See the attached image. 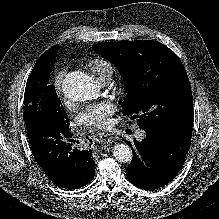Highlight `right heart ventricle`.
Wrapping results in <instances>:
<instances>
[{
    "instance_id": "obj_1",
    "label": "right heart ventricle",
    "mask_w": 219,
    "mask_h": 219,
    "mask_svg": "<svg viewBox=\"0 0 219 219\" xmlns=\"http://www.w3.org/2000/svg\"><path fill=\"white\" fill-rule=\"evenodd\" d=\"M86 67L92 76L98 80L103 76H112L114 66L112 63L102 57H93L86 61Z\"/></svg>"
}]
</instances>
